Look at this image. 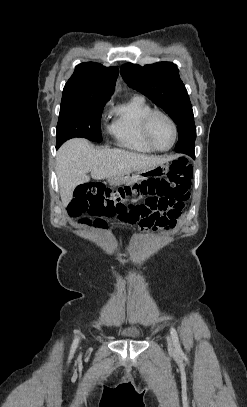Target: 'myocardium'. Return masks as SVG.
I'll list each match as a JSON object with an SVG mask.
<instances>
[{
  "instance_id": "1",
  "label": "myocardium",
  "mask_w": 247,
  "mask_h": 407,
  "mask_svg": "<svg viewBox=\"0 0 247 407\" xmlns=\"http://www.w3.org/2000/svg\"><path fill=\"white\" fill-rule=\"evenodd\" d=\"M155 116H162L165 119H167L169 121V123L172 126L173 129V140L171 142V144L169 145V147L161 149L159 147H157L154 142L151 139L150 136V123L152 121V119ZM141 131H142V135L143 138L145 140V142L154 150V151H158V152H165L170 150L174 144L176 143L177 137H178V128L176 125V122L174 121V119L167 114L166 112L160 111V110H151L142 120V124H141Z\"/></svg>"
}]
</instances>
